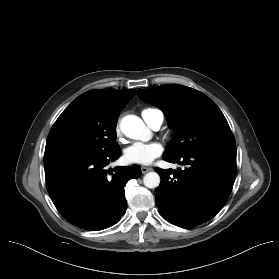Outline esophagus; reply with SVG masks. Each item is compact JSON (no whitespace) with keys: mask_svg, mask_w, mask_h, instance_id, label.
<instances>
[{"mask_svg":"<svg viewBox=\"0 0 279 279\" xmlns=\"http://www.w3.org/2000/svg\"><path fill=\"white\" fill-rule=\"evenodd\" d=\"M151 170H152L151 167L141 166V172H142L143 174H145V173H147V172H149V171H151Z\"/></svg>","mask_w":279,"mask_h":279,"instance_id":"obj_1","label":"esophagus"}]
</instances>
